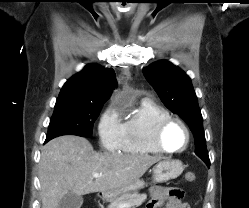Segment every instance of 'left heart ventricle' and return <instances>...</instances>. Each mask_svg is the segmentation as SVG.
<instances>
[{
    "instance_id": "obj_1",
    "label": "left heart ventricle",
    "mask_w": 249,
    "mask_h": 208,
    "mask_svg": "<svg viewBox=\"0 0 249 208\" xmlns=\"http://www.w3.org/2000/svg\"><path fill=\"white\" fill-rule=\"evenodd\" d=\"M185 142L186 133L178 123H172L163 133V143L169 149H180Z\"/></svg>"
}]
</instances>
